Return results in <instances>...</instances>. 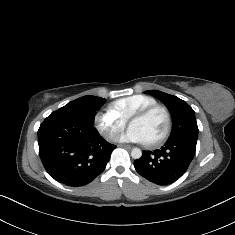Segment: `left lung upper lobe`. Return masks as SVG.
<instances>
[{"instance_id": "5c2ea615", "label": "left lung upper lobe", "mask_w": 235, "mask_h": 235, "mask_svg": "<svg viewBox=\"0 0 235 235\" xmlns=\"http://www.w3.org/2000/svg\"><path fill=\"white\" fill-rule=\"evenodd\" d=\"M145 93L160 99L170 109L173 125L169 139L185 137L197 140L198 126L195 112L184 100L158 90H148Z\"/></svg>"}]
</instances>
